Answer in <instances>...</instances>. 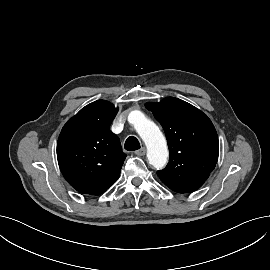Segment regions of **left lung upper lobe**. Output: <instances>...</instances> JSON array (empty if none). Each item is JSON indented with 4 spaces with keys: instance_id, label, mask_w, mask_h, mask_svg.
Listing matches in <instances>:
<instances>
[{
    "instance_id": "1",
    "label": "left lung upper lobe",
    "mask_w": 270,
    "mask_h": 270,
    "mask_svg": "<svg viewBox=\"0 0 270 270\" xmlns=\"http://www.w3.org/2000/svg\"><path fill=\"white\" fill-rule=\"evenodd\" d=\"M145 106L162 125L169 148V163L157 175L175 192L199 189L215 168L219 155L218 136L211 120L196 107L174 97Z\"/></svg>"
}]
</instances>
